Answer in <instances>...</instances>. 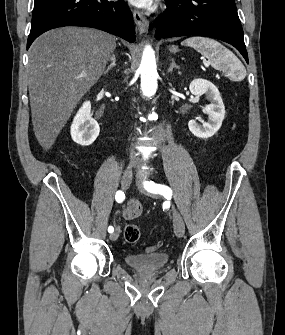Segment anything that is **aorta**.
<instances>
[{
  "instance_id": "1",
  "label": "aorta",
  "mask_w": 285,
  "mask_h": 335,
  "mask_svg": "<svg viewBox=\"0 0 285 335\" xmlns=\"http://www.w3.org/2000/svg\"><path fill=\"white\" fill-rule=\"evenodd\" d=\"M138 70L141 76L139 96L146 97L147 102H158V95H156L158 74L155 52L151 46H145ZM148 137H155L157 140L160 137H167V130H148Z\"/></svg>"
}]
</instances>
